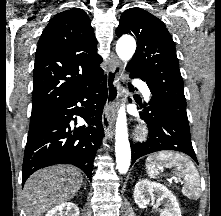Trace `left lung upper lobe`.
<instances>
[{
    "mask_svg": "<svg viewBox=\"0 0 221 216\" xmlns=\"http://www.w3.org/2000/svg\"><path fill=\"white\" fill-rule=\"evenodd\" d=\"M116 34L137 38L127 70L147 82L153 95L149 107L157 106L188 122L175 44L164 23L141 8H130L121 15Z\"/></svg>",
    "mask_w": 221,
    "mask_h": 216,
    "instance_id": "1",
    "label": "left lung upper lobe"
}]
</instances>
